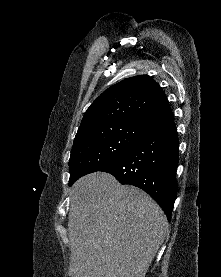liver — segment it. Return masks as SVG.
Here are the masks:
<instances>
[{"label":"liver","mask_w":221,"mask_h":277,"mask_svg":"<svg viewBox=\"0 0 221 277\" xmlns=\"http://www.w3.org/2000/svg\"><path fill=\"white\" fill-rule=\"evenodd\" d=\"M71 277H145L169 233L160 206L144 191L95 172L72 186Z\"/></svg>","instance_id":"obj_1"}]
</instances>
